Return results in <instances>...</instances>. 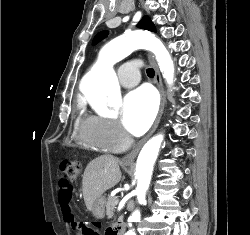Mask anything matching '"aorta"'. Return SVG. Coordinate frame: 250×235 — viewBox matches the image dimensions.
<instances>
[{
	"label": "aorta",
	"instance_id": "aorta-1",
	"mask_svg": "<svg viewBox=\"0 0 250 235\" xmlns=\"http://www.w3.org/2000/svg\"><path fill=\"white\" fill-rule=\"evenodd\" d=\"M146 49L154 53L163 77L171 85L174 78V64L164 44L154 35L145 31H134L123 38L107 43L101 50L96 66L85 78L83 93L92 105L116 106L120 102V87L112 66L134 49ZM163 135L151 138L142 148L136 164L137 187L135 194L139 203L145 201L153 166L159 154ZM141 214L135 210L128 221L139 222ZM125 235H136L129 229Z\"/></svg>",
	"mask_w": 250,
	"mask_h": 235
}]
</instances>
